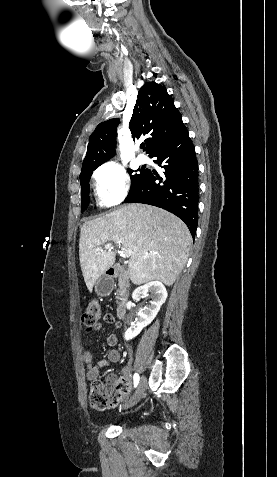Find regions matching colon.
I'll use <instances>...</instances> for the list:
<instances>
[{"instance_id":"obj_1","label":"colon","mask_w":277,"mask_h":477,"mask_svg":"<svg viewBox=\"0 0 277 477\" xmlns=\"http://www.w3.org/2000/svg\"><path fill=\"white\" fill-rule=\"evenodd\" d=\"M102 316L101 305L96 300H92L83 309L82 322L88 331H93ZM128 391L129 387L124 382L104 384L101 381H95L89 394L90 406L95 411H105L116 406Z\"/></svg>"}]
</instances>
